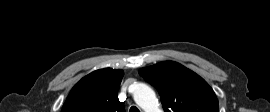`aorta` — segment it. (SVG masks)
I'll list each match as a JSON object with an SVG mask.
<instances>
[{
	"label": "aorta",
	"instance_id": "obj_1",
	"mask_svg": "<svg viewBox=\"0 0 270 112\" xmlns=\"http://www.w3.org/2000/svg\"><path fill=\"white\" fill-rule=\"evenodd\" d=\"M136 104L145 112H162L158 107L155 92L146 84H137L133 93Z\"/></svg>",
	"mask_w": 270,
	"mask_h": 112
}]
</instances>
